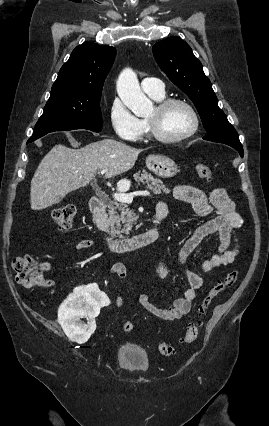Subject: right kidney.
Masks as SVG:
<instances>
[{
	"label": "right kidney",
	"mask_w": 269,
	"mask_h": 426,
	"mask_svg": "<svg viewBox=\"0 0 269 426\" xmlns=\"http://www.w3.org/2000/svg\"><path fill=\"white\" fill-rule=\"evenodd\" d=\"M110 300L102 294L96 284L81 286L62 303L58 310V321L68 336L77 343H85L96 329L95 317L100 307L110 308ZM87 318V324L81 318Z\"/></svg>",
	"instance_id": "ca27d5eb"
}]
</instances>
